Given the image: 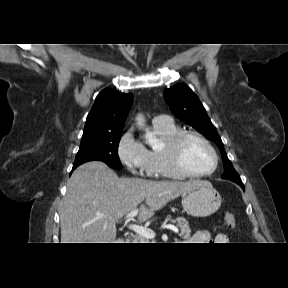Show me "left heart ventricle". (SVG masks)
<instances>
[{
	"mask_svg": "<svg viewBox=\"0 0 288 288\" xmlns=\"http://www.w3.org/2000/svg\"><path fill=\"white\" fill-rule=\"evenodd\" d=\"M182 161L187 170L193 173H206L214 166V157L211 151L194 138H190L184 143Z\"/></svg>",
	"mask_w": 288,
	"mask_h": 288,
	"instance_id": "1",
	"label": "left heart ventricle"
}]
</instances>
